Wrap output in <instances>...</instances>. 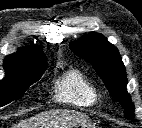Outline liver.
Listing matches in <instances>:
<instances>
[{
    "mask_svg": "<svg viewBox=\"0 0 142 128\" xmlns=\"http://www.w3.org/2000/svg\"><path fill=\"white\" fill-rule=\"evenodd\" d=\"M84 121H89V117L77 111L50 110L25 119L12 128H73Z\"/></svg>",
    "mask_w": 142,
    "mask_h": 128,
    "instance_id": "1",
    "label": "liver"
}]
</instances>
